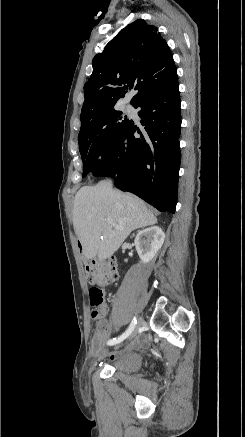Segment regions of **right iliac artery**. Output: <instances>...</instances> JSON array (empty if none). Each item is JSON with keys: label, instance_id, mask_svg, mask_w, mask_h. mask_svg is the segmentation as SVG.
Listing matches in <instances>:
<instances>
[{"label": "right iliac artery", "instance_id": "obj_1", "mask_svg": "<svg viewBox=\"0 0 245 437\" xmlns=\"http://www.w3.org/2000/svg\"><path fill=\"white\" fill-rule=\"evenodd\" d=\"M136 324H137V320L134 317L132 319L128 329L122 335H120L118 338L110 339L107 342V344L108 345H115V344H118V343L122 342L124 339H126L133 332V330L135 329Z\"/></svg>", "mask_w": 245, "mask_h": 437}]
</instances>
